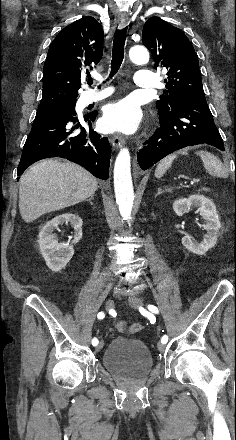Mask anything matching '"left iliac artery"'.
I'll use <instances>...</instances> for the list:
<instances>
[{
    "mask_svg": "<svg viewBox=\"0 0 236 440\" xmlns=\"http://www.w3.org/2000/svg\"><path fill=\"white\" fill-rule=\"evenodd\" d=\"M148 309H149L151 312L155 313V314L159 313L158 308H157L156 306H154V305H148ZM140 312L145 313V310L142 309V308H140ZM161 342L164 343V344H166V343L168 342V336H167V335H164V336L161 338Z\"/></svg>",
    "mask_w": 236,
    "mask_h": 440,
    "instance_id": "left-iliac-artery-1",
    "label": "left iliac artery"
}]
</instances>
